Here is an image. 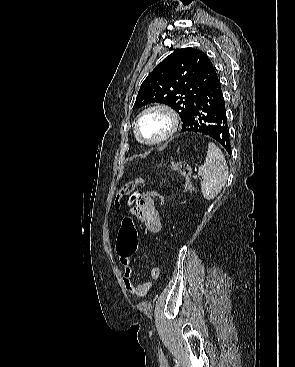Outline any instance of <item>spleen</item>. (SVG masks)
Segmentation results:
<instances>
[{
    "instance_id": "1",
    "label": "spleen",
    "mask_w": 295,
    "mask_h": 367,
    "mask_svg": "<svg viewBox=\"0 0 295 367\" xmlns=\"http://www.w3.org/2000/svg\"><path fill=\"white\" fill-rule=\"evenodd\" d=\"M198 174L203 178L201 192L206 200L214 199L227 182L229 172L225 156L212 142L208 144L207 156Z\"/></svg>"
}]
</instances>
